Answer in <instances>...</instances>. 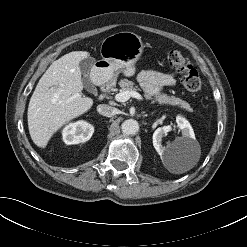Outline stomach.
I'll return each instance as SVG.
<instances>
[{"label": "stomach", "instance_id": "stomach-1", "mask_svg": "<svg viewBox=\"0 0 247 247\" xmlns=\"http://www.w3.org/2000/svg\"><path fill=\"white\" fill-rule=\"evenodd\" d=\"M141 37L133 32H118L105 38L100 47L102 59L93 68V74L102 81L115 78L123 72L125 76L135 73L134 64L143 52Z\"/></svg>", "mask_w": 247, "mask_h": 247}]
</instances>
